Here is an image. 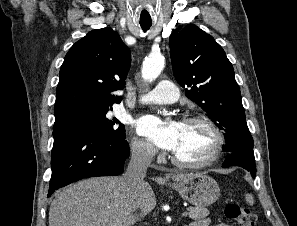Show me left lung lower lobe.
I'll use <instances>...</instances> for the list:
<instances>
[{"instance_id": "obj_1", "label": "left lung lower lobe", "mask_w": 297, "mask_h": 226, "mask_svg": "<svg viewBox=\"0 0 297 226\" xmlns=\"http://www.w3.org/2000/svg\"><path fill=\"white\" fill-rule=\"evenodd\" d=\"M231 166H240L251 173L252 178L256 176V165L254 152L231 153L227 155V159L222 164L223 168Z\"/></svg>"}]
</instances>
